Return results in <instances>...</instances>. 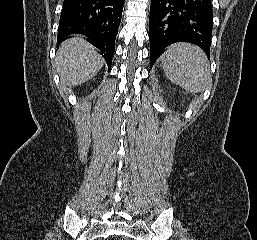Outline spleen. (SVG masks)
Here are the masks:
<instances>
[{"mask_svg": "<svg viewBox=\"0 0 257 240\" xmlns=\"http://www.w3.org/2000/svg\"><path fill=\"white\" fill-rule=\"evenodd\" d=\"M166 76L191 93L204 91L211 83L209 62L205 53L189 43H177L161 56Z\"/></svg>", "mask_w": 257, "mask_h": 240, "instance_id": "3e777b00", "label": "spleen"}]
</instances>
